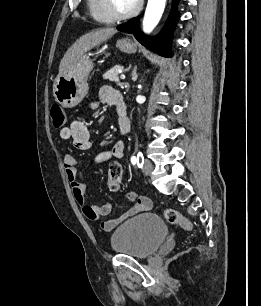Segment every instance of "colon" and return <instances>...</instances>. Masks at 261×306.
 I'll return each mask as SVG.
<instances>
[{
	"mask_svg": "<svg viewBox=\"0 0 261 306\" xmlns=\"http://www.w3.org/2000/svg\"><path fill=\"white\" fill-rule=\"evenodd\" d=\"M53 126L57 129L63 128L66 123V114L58 104H53L50 109ZM122 166L120 163H113L109 167L107 184L110 190L117 191L122 181ZM165 219L172 225H177L185 230L191 229V222L179 211L168 208L164 211Z\"/></svg>",
	"mask_w": 261,
	"mask_h": 306,
	"instance_id": "1",
	"label": "colon"
}]
</instances>
